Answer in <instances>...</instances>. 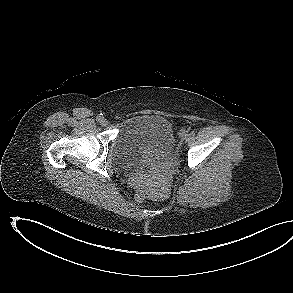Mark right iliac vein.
Wrapping results in <instances>:
<instances>
[{"mask_svg":"<svg viewBox=\"0 0 293 293\" xmlns=\"http://www.w3.org/2000/svg\"><path fill=\"white\" fill-rule=\"evenodd\" d=\"M100 123H101L102 126L108 125V121L105 118H103Z\"/></svg>","mask_w":293,"mask_h":293,"instance_id":"1","label":"right iliac vein"}]
</instances>
